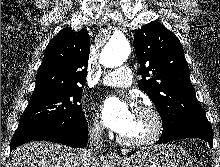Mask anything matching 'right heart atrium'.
Segmentation results:
<instances>
[{
  "mask_svg": "<svg viewBox=\"0 0 220 167\" xmlns=\"http://www.w3.org/2000/svg\"><path fill=\"white\" fill-rule=\"evenodd\" d=\"M89 131L91 134L99 135L103 131V125L98 118H93L89 125Z\"/></svg>",
  "mask_w": 220,
  "mask_h": 167,
  "instance_id": "d8ad5b80",
  "label": "right heart atrium"
}]
</instances>
